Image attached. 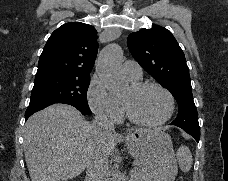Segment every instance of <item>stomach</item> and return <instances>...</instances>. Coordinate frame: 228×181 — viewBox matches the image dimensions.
<instances>
[{"label":"stomach","mask_w":228,"mask_h":181,"mask_svg":"<svg viewBox=\"0 0 228 181\" xmlns=\"http://www.w3.org/2000/svg\"><path fill=\"white\" fill-rule=\"evenodd\" d=\"M125 139L138 171H142L140 181H175L178 167L170 135L163 131H133Z\"/></svg>","instance_id":"stomach-1"}]
</instances>
